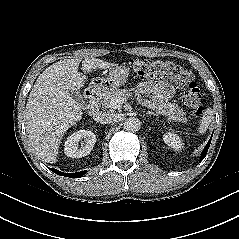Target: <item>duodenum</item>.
<instances>
[{
  "mask_svg": "<svg viewBox=\"0 0 239 239\" xmlns=\"http://www.w3.org/2000/svg\"><path fill=\"white\" fill-rule=\"evenodd\" d=\"M85 98L88 102V106H89V114L90 115H97L99 112V108H98V94L96 89L94 88H89L86 92H85Z\"/></svg>",
  "mask_w": 239,
  "mask_h": 239,
  "instance_id": "1",
  "label": "duodenum"
}]
</instances>
